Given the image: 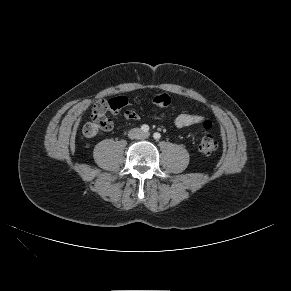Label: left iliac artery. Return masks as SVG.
I'll return each instance as SVG.
<instances>
[{"instance_id":"obj_1","label":"left iliac artery","mask_w":291,"mask_h":291,"mask_svg":"<svg viewBox=\"0 0 291 291\" xmlns=\"http://www.w3.org/2000/svg\"><path fill=\"white\" fill-rule=\"evenodd\" d=\"M153 137H154L155 140H159L161 138V134L156 132V133L153 134Z\"/></svg>"}]
</instances>
